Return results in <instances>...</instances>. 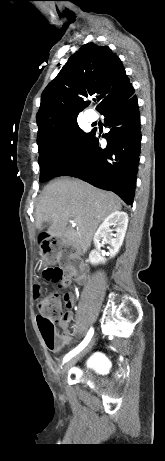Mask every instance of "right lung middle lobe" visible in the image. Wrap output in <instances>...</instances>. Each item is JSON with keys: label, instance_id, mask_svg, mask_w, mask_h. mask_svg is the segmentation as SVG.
I'll return each mask as SVG.
<instances>
[{"label": "right lung middle lobe", "instance_id": "dd1d6c3e", "mask_svg": "<svg viewBox=\"0 0 165 461\" xmlns=\"http://www.w3.org/2000/svg\"><path fill=\"white\" fill-rule=\"evenodd\" d=\"M90 133L82 131L77 120L69 121L60 127L47 132L37 139L39 148L40 182L48 181L73 159L85 146ZM70 147L72 152L63 154V149Z\"/></svg>", "mask_w": 165, "mask_h": 461}]
</instances>
